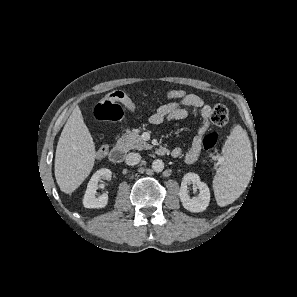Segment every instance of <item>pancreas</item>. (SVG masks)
<instances>
[{
    "mask_svg": "<svg viewBox=\"0 0 297 297\" xmlns=\"http://www.w3.org/2000/svg\"><path fill=\"white\" fill-rule=\"evenodd\" d=\"M118 144L125 150L132 149L143 150L150 149L152 146L143 141L138 132H128L124 134L119 140Z\"/></svg>",
    "mask_w": 297,
    "mask_h": 297,
    "instance_id": "cf45deb5",
    "label": "pancreas"
}]
</instances>
